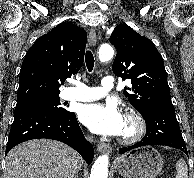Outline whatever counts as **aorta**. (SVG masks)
Instances as JSON below:
<instances>
[{"label": "aorta", "mask_w": 194, "mask_h": 178, "mask_svg": "<svg viewBox=\"0 0 194 178\" xmlns=\"http://www.w3.org/2000/svg\"><path fill=\"white\" fill-rule=\"evenodd\" d=\"M114 50L111 45L103 44L99 49V59L101 62H106L112 59ZM108 155L99 156L92 167L90 178H107L108 176Z\"/></svg>", "instance_id": "aorta-1"}]
</instances>
